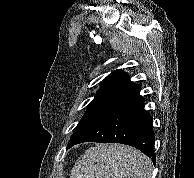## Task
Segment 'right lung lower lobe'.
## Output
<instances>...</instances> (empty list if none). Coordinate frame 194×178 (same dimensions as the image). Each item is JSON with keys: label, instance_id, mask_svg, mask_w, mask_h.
<instances>
[{"label": "right lung lower lobe", "instance_id": "obj_1", "mask_svg": "<svg viewBox=\"0 0 194 178\" xmlns=\"http://www.w3.org/2000/svg\"><path fill=\"white\" fill-rule=\"evenodd\" d=\"M153 118L144 109V99L122 105L74 144L82 142L122 143L141 150L155 162Z\"/></svg>", "mask_w": 194, "mask_h": 178}]
</instances>
